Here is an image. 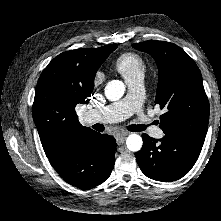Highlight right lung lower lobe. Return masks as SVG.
I'll use <instances>...</instances> for the list:
<instances>
[{"label": "right lung lower lobe", "instance_id": "98d812e1", "mask_svg": "<svg viewBox=\"0 0 221 221\" xmlns=\"http://www.w3.org/2000/svg\"><path fill=\"white\" fill-rule=\"evenodd\" d=\"M116 146L114 137L94 131L74 136L48 158L67 183L85 189L100 185L110 176Z\"/></svg>", "mask_w": 221, "mask_h": 221}]
</instances>
